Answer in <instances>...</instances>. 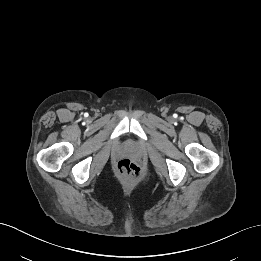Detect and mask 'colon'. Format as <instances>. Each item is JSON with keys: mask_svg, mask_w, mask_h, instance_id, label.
<instances>
[{"mask_svg": "<svg viewBox=\"0 0 261 261\" xmlns=\"http://www.w3.org/2000/svg\"><path fill=\"white\" fill-rule=\"evenodd\" d=\"M117 171L119 176L128 182H135L142 178L141 168L129 159L120 160Z\"/></svg>", "mask_w": 261, "mask_h": 261, "instance_id": "obj_1", "label": "colon"}]
</instances>
